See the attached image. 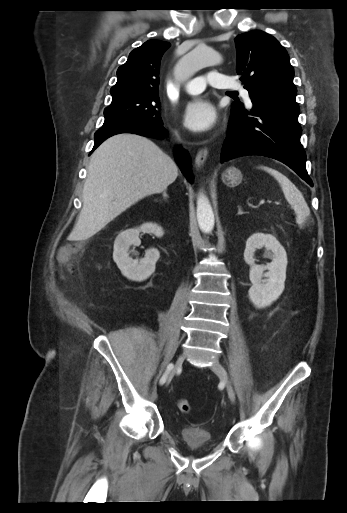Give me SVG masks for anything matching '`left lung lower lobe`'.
<instances>
[{
  "label": "left lung lower lobe",
  "instance_id": "1",
  "mask_svg": "<svg viewBox=\"0 0 347 513\" xmlns=\"http://www.w3.org/2000/svg\"><path fill=\"white\" fill-rule=\"evenodd\" d=\"M253 109L232 104L228 133L221 159L227 161L245 155H262L281 161L310 186L306 154L300 143L299 106L293 98L263 97L251 99Z\"/></svg>",
  "mask_w": 347,
  "mask_h": 513
}]
</instances>
